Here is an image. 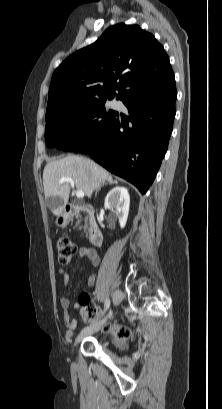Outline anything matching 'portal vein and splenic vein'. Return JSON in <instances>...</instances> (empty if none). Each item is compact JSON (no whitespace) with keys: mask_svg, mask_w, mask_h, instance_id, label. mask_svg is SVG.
Masks as SVG:
<instances>
[{"mask_svg":"<svg viewBox=\"0 0 222 409\" xmlns=\"http://www.w3.org/2000/svg\"><path fill=\"white\" fill-rule=\"evenodd\" d=\"M65 182L69 183V184L71 185V187L74 188L75 182H74V180H73L72 178H70V177H63V178H61V179L59 180V183H60V184H63V183H65ZM75 194H76V197H77V198H83L84 195H85L82 190H77Z\"/></svg>","mask_w":222,"mask_h":409,"instance_id":"portal-vein-and-splenic-vein-1","label":"portal vein and splenic vein"}]
</instances>
